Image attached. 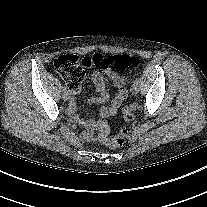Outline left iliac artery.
<instances>
[{"instance_id": "1", "label": "left iliac artery", "mask_w": 207, "mask_h": 207, "mask_svg": "<svg viewBox=\"0 0 207 207\" xmlns=\"http://www.w3.org/2000/svg\"><path fill=\"white\" fill-rule=\"evenodd\" d=\"M134 83L138 84L139 83V78H135Z\"/></svg>"}]
</instances>
